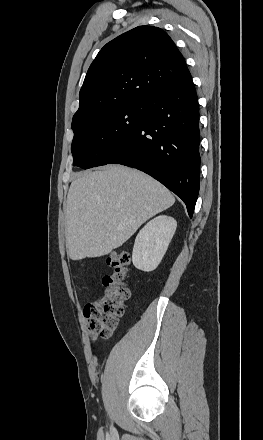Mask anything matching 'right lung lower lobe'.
<instances>
[{
  "label": "right lung lower lobe",
  "instance_id": "obj_1",
  "mask_svg": "<svg viewBox=\"0 0 263 440\" xmlns=\"http://www.w3.org/2000/svg\"><path fill=\"white\" fill-rule=\"evenodd\" d=\"M199 105L191 74L145 101V117L112 164L139 169L179 196L190 217L200 183Z\"/></svg>",
  "mask_w": 263,
  "mask_h": 440
}]
</instances>
